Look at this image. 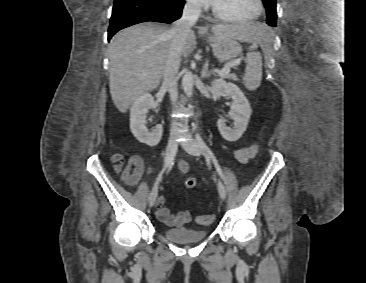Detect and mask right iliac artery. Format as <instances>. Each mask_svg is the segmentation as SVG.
I'll return each instance as SVG.
<instances>
[{
    "label": "right iliac artery",
    "instance_id": "1",
    "mask_svg": "<svg viewBox=\"0 0 366 283\" xmlns=\"http://www.w3.org/2000/svg\"><path fill=\"white\" fill-rule=\"evenodd\" d=\"M173 162V157L170 159V161L168 162V164L165 166V168L162 170V172L160 173L159 177L157 178V181L160 179V176L162 175V173L165 171V169L171 165ZM157 183V182H156Z\"/></svg>",
    "mask_w": 366,
    "mask_h": 283
}]
</instances>
